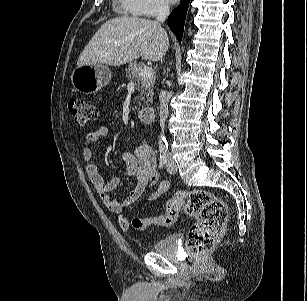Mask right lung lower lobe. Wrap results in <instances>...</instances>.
I'll list each match as a JSON object with an SVG mask.
<instances>
[{
    "label": "right lung lower lobe",
    "instance_id": "obj_1",
    "mask_svg": "<svg viewBox=\"0 0 307 301\" xmlns=\"http://www.w3.org/2000/svg\"><path fill=\"white\" fill-rule=\"evenodd\" d=\"M190 0H182L180 5L173 10L167 20L171 31L177 36L179 43L182 40L185 17Z\"/></svg>",
    "mask_w": 307,
    "mask_h": 301
}]
</instances>
